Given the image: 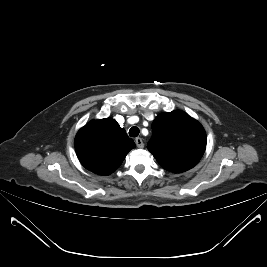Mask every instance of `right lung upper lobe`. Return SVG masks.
Instances as JSON below:
<instances>
[{
	"instance_id": "obj_1",
	"label": "right lung upper lobe",
	"mask_w": 267,
	"mask_h": 267,
	"mask_svg": "<svg viewBox=\"0 0 267 267\" xmlns=\"http://www.w3.org/2000/svg\"><path fill=\"white\" fill-rule=\"evenodd\" d=\"M133 148L134 141L111 118L91 120L75 138V149L81 164L99 175L116 171Z\"/></svg>"
}]
</instances>
